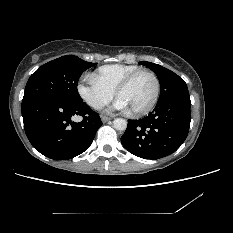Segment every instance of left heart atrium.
I'll return each mask as SVG.
<instances>
[{
    "instance_id": "left-heart-atrium-1",
    "label": "left heart atrium",
    "mask_w": 233,
    "mask_h": 233,
    "mask_svg": "<svg viewBox=\"0 0 233 233\" xmlns=\"http://www.w3.org/2000/svg\"><path fill=\"white\" fill-rule=\"evenodd\" d=\"M125 110H128L126 103L122 99L117 97V99L114 101L112 106H110V108L107 111L112 112V111H125Z\"/></svg>"
}]
</instances>
